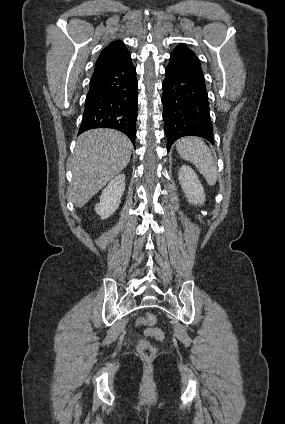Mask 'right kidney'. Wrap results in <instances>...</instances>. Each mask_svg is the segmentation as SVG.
Here are the masks:
<instances>
[{"instance_id":"1","label":"right kidney","mask_w":285,"mask_h":424,"mask_svg":"<svg viewBox=\"0 0 285 424\" xmlns=\"http://www.w3.org/2000/svg\"><path fill=\"white\" fill-rule=\"evenodd\" d=\"M125 191V175L119 174L112 179L100 196V202L95 205V211L100 218L106 219L118 209Z\"/></svg>"}]
</instances>
